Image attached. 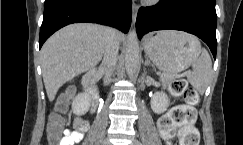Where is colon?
<instances>
[{
    "label": "colon",
    "instance_id": "obj_1",
    "mask_svg": "<svg viewBox=\"0 0 243 145\" xmlns=\"http://www.w3.org/2000/svg\"><path fill=\"white\" fill-rule=\"evenodd\" d=\"M170 91L173 95L182 96L185 104L173 107L159 119L158 129L160 135L164 139H171L178 130L180 145H199L200 135L194 127L196 113L192 107L197 101V92L183 78L174 79L170 84ZM68 100V95L63 96L57 104V111L49 118L47 136L51 145L61 144L64 127L62 113L66 110ZM76 127L79 130L83 129V122L77 121Z\"/></svg>",
    "mask_w": 243,
    "mask_h": 145
}]
</instances>
